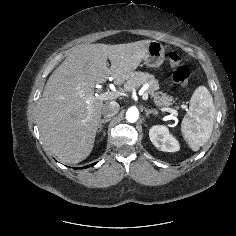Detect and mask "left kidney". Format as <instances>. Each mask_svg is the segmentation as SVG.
<instances>
[{"instance_id": "5707ae66", "label": "left kidney", "mask_w": 236, "mask_h": 236, "mask_svg": "<svg viewBox=\"0 0 236 236\" xmlns=\"http://www.w3.org/2000/svg\"><path fill=\"white\" fill-rule=\"evenodd\" d=\"M149 137L154 146L161 151L176 152L180 149L178 141L169 134L165 126H153L149 130Z\"/></svg>"}]
</instances>
